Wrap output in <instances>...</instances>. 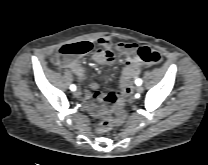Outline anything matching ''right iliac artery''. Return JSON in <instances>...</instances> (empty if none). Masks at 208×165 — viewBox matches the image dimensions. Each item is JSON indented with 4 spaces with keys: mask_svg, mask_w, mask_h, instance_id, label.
<instances>
[{
    "mask_svg": "<svg viewBox=\"0 0 208 165\" xmlns=\"http://www.w3.org/2000/svg\"><path fill=\"white\" fill-rule=\"evenodd\" d=\"M70 89H71L72 91H75V90H76V86H75V85H71V86H70Z\"/></svg>",
    "mask_w": 208,
    "mask_h": 165,
    "instance_id": "82829eb1",
    "label": "right iliac artery"
}]
</instances>
